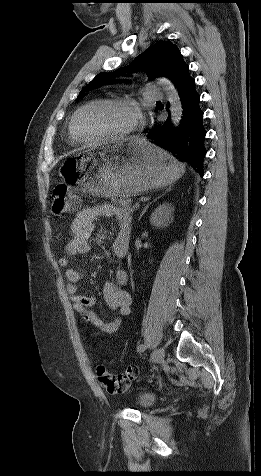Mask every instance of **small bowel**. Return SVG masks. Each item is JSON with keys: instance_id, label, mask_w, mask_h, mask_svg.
Listing matches in <instances>:
<instances>
[{"instance_id": "1", "label": "small bowel", "mask_w": 261, "mask_h": 476, "mask_svg": "<svg viewBox=\"0 0 261 476\" xmlns=\"http://www.w3.org/2000/svg\"><path fill=\"white\" fill-rule=\"evenodd\" d=\"M102 217L113 218L117 225V235L113 243L114 255L122 258L127 254L131 230L130 215L112 205L103 204L85 208L76 215L71 226V237L65 245L66 255L59 259V265L66 268V289L73 308L83 316L86 322L105 334H113L120 328L123 318L130 312L132 299L123 288L128 282V272L125 269H118L115 273V282L104 285V299L107 305L117 313L112 320L105 321L90 309L95 303V298L80 293L79 283L85 277L84 269L69 267L71 258L90 251V240L96 230L95 221Z\"/></svg>"}]
</instances>
